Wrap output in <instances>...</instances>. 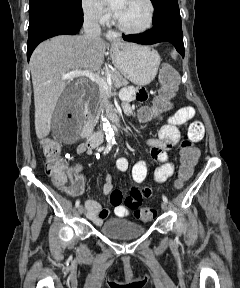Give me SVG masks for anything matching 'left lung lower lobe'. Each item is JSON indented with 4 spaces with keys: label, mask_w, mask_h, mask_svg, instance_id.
<instances>
[{
    "label": "left lung lower lobe",
    "mask_w": 240,
    "mask_h": 288,
    "mask_svg": "<svg viewBox=\"0 0 240 288\" xmlns=\"http://www.w3.org/2000/svg\"><path fill=\"white\" fill-rule=\"evenodd\" d=\"M123 39L139 44H155L163 41L172 43L184 57V44L181 21L167 20L153 25V28L142 34L123 35Z\"/></svg>",
    "instance_id": "left-lung-lower-lobe-1"
}]
</instances>
